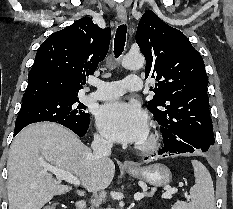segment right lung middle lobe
Here are the masks:
<instances>
[{"label":"right lung middle lobe","mask_w":233,"mask_h":209,"mask_svg":"<svg viewBox=\"0 0 233 209\" xmlns=\"http://www.w3.org/2000/svg\"><path fill=\"white\" fill-rule=\"evenodd\" d=\"M78 98H49L22 103L15 128L41 121L56 122L68 128H81L89 123L90 115Z\"/></svg>","instance_id":"dd1d6c3e"}]
</instances>
